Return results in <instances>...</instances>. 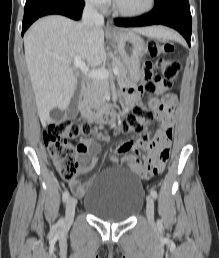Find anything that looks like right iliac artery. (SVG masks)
<instances>
[{
    "instance_id": "1",
    "label": "right iliac artery",
    "mask_w": 219,
    "mask_h": 258,
    "mask_svg": "<svg viewBox=\"0 0 219 258\" xmlns=\"http://www.w3.org/2000/svg\"><path fill=\"white\" fill-rule=\"evenodd\" d=\"M69 197V192L68 191H65L62 195V199H63V202H66V200L68 199ZM60 222H63V219H60Z\"/></svg>"
}]
</instances>
